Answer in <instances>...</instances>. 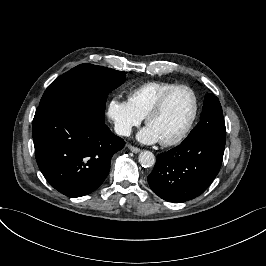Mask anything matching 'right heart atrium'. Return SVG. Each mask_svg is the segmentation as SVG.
I'll return each instance as SVG.
<instances>
[{
	"instance_id": "obj_1",
	"label": "right heart atrium",
	"mask_w": 266,
	"mask_h": 266,
	"mask_svg": "<svg viewBox=\"0 0 266 266\" xmlns=\"http://www.w3.org/2000/svg\"><path fill=\"white\" fill-rule=\"evenodd\" d=\"M107 116L121 135H128L139 125L143 117L135 110L129 99L112 96L107 103Z\"/></svg>"
}]
</instances>
